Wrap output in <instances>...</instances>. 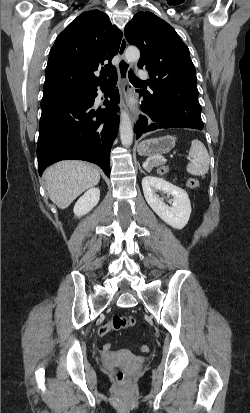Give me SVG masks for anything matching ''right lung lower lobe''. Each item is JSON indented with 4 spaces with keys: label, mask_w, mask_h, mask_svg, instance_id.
<instances>
[{
    "label": "right lung lower lobe",
    "mask_w": 250,
    "mask_h": 413,
    "mask_svg": "<svg viewBox=\"0 0 250 413\" xmlns=\"http://www.w3.org/2000/svg\"><path fill=\"white\" fill-rule=\"evenodd\" d=\"M107 90L108 81L99 85ZM97 87L56 96H43L37 158L39 174L49 165L66 159L85 160L110 175V149L116 138L119 92L116 89L105 108L94 104Z\"/></svg>",
    "instance_id": "1"
}]
</instances>
